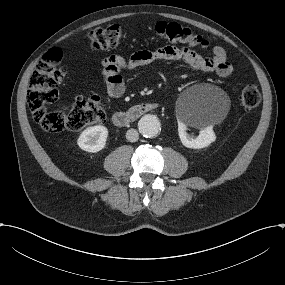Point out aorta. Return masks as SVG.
<instances>
[{
  "instance_id": "762f6f07",
  "label": "aorta",
  "mask_w": 285,
  "mask_h": 285,
  "mask_svg": "<svg viewBox=\"0 0 285 285\" xmlns=\"http://www.w3.org/2000/svg\"><path fill=\"white\" fill-rule=\"evenodd\" d=\"M139 131L146 138H153L158 135L161 130L160 122L155 115L143 116L139 123Z\"/></svg>"
}]
</instances>
